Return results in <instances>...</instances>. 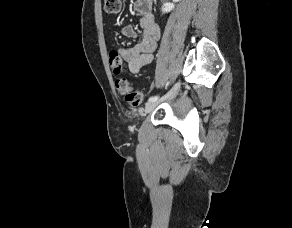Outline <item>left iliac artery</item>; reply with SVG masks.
<instances>
[{
	"label": "left iliac artery",
	"instance_id": "1",
	"mask_svg": "<svg viewBox=\"0 0 292 228\" xmlns=\"http://www.w3.org/2000/svg\"><path fill=\"white\" fill-rule=\"evenodd\" d=\"M159 99V96H152L148 99V102H154V101H157Z\"/></svg>",
	"mask_w": 292,
	"mask_h": 228
}]
</instances>
